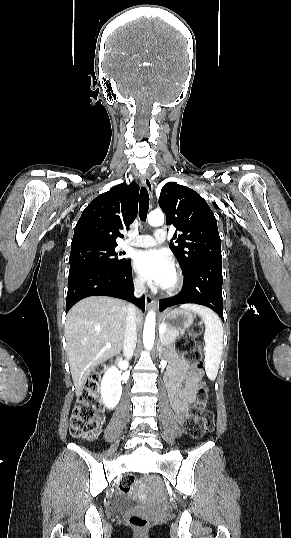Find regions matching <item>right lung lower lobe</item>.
<instances>
[{"label": "right lung lower lobe", "mask_w": 291, "mask_h": 538, "mask_svg": "<svg viewBox=\"0 0 291 538\" xmlns=\"http://www.w3.org/2000/svg\"><path fill=\"white\" fill-rule=\"evenodd\" d=\"M131 261L120 267L81 266L70 269L66 313L79 300L89 296H111L134 303L143 311L145 299L135 298Z\"/></svg>", "instance_id": "obj_1"}]
</instances>
